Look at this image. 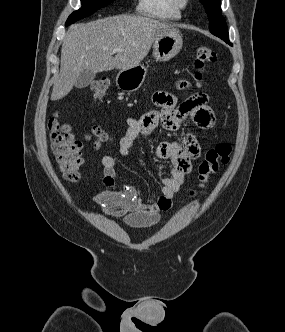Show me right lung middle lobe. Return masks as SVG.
<instances>
[{"mask_svg":"<svg viewBox=\"0 0 285 332\" xmlns=\"http://www.w3.org/2000/svg\"><path fill=\"white\" fill-rule=\"evenodd\" d=\"M113 0H81L82 7L74 11L67 19L65 26H68L75 21L93 14L99 8L108 5Z\"/></svg>","mask_w":285,"mask_h":332,"instance_id":"obj_1","label":"right lung middle lobe"}]
</instances>
